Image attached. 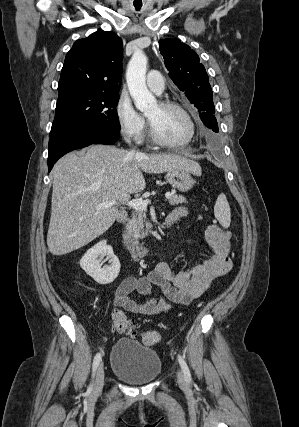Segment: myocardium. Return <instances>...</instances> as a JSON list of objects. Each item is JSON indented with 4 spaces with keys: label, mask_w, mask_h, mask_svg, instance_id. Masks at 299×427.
I'll return each instance as SVG.
<instances>
[{
    "label": "myocardium",
    "mask_w": 299,
    "mask_h": 427,
    "mask_svg": "<svg viewBox=\"0 0 299 427\" xmlns=\"http://www.w3.org/2000/svg\"><path fill=\"white\" fill-rule=\"evenodd\" d=\"M158 105L160 107H163V108H171V109H175V110L179 111L184 116V118L186 119V121L189 125V133H188L187 138L182 140V141L165 140L157 134L153 125L149 121V132H150L151 140L155 144L162 146V147H166V148H179V147H183L185 145H188L193 140L195 133H196L195 122L193 120V117L189 113V111L180 103L172 101V100L160 101L158 103Z\"/></svg>",
    "instance_id": "f54148a6"
}]
</instances>
